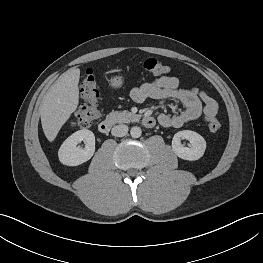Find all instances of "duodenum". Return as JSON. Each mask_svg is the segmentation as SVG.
I'll return each instance as SVG.
<instances>
[{
  "mask_svg": "<svg viewBox=\"0 0 263 263\" xmlns=\"http://www.w3.org/2000/svg\"><path fill=\"white\" fill-rule=\"evenodd\" d=\"M140 122L145 127H148V128H151L155 125V119L152 116L143 115L140 117ZM113 126H114L113 120L105 119L98 124V131L100 133L105 134V133H108Z\"/></svg>",
  "mask_w": 263,
  "mask_h": 263,
  "instance_id": "410a0bca",
  "label": "duodenum"
}]
</instances>
